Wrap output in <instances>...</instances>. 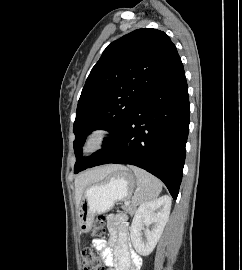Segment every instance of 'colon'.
<instances>
[{
  "label": "colon",
  "mask_w": 242,
  "mask_h": 270,
  "mask_svg": "<svg viewBox=\"0 0 242 270\" xmlns=\"http://www.w3.org/2000/svg\"><path fill=\"white\" fill-rule=\"evenodd\" d=\"M106 234L105 217L98 216L93 225V236L102 237ZM85 270H105L97 253L92 248H85L82 252Z\"/></svg>",
  "instance_id": "1"
}]
</instances>
